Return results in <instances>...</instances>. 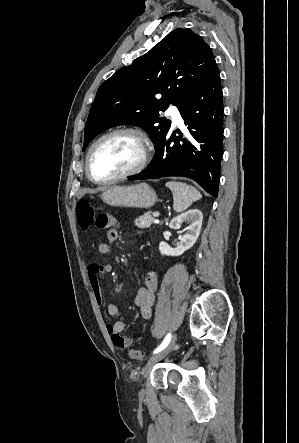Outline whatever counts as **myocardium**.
<instances>
[{
    "label": "myocardium",
    "instance_id": "1",
    "mask_svg": "<svg viewBox=\"0 0 299 443\" xmlns=\"http://www.w3.org/2000/svg\"><path fill=\"white\" fill-rule=\"evenodd\" d=\"M119 134L131 135L138 140L140 147H141V156H140L138 162L134 166H132L130 169H128L116 176H113L111 178H107V179L95 178L93 176L92 170H91V158H92V154H93L95 148L104 140H106L112 136L119 135ZM151 152H152V144H151L149 138L146 136V134L143 131H141L140 129L133 128V127H124V128L114 129L108 133H105L101 137H99L90 146V148L87 152V155H86L87 177L92 182H94L96 184H103V185L112 184V183L117 182L119 180L125 179L127 177H130L132 175H135V174L141 172L147 166L150 156H151Z\"/></svg>",
    "mask_w": 299,
    "mask_h": 443
}]
</instances>
